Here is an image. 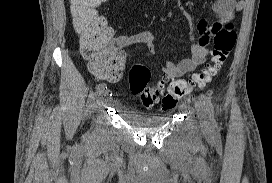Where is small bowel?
<instances>
[{
  "label": "small bowel",
  "instance_id": "small-bowel-1",
  "mask_svg": "<svg viewBox=\"0 0 272 183\" xmlns=\"http://www.w3.org/2000/svg\"><path fill=\"white\" fill-rule=\"evenodd\" d=\"M244 0H217L213 9L217 14V21L215 24L210 25L206 20H201L198 23V30L200 32V38L196 40L193 36L190 37L191 41V54L180 61H167L163 68V73L167 79L179 78L189 72L194 71L206 60L209 49L207 47L208 39H214L216 31L220 30V25L233 19L236 12L240 11L244 7ZM110 34L109 48L118 56L119 62L110 67L105 74H98L94 72L99 78L107 81H116L122 74L125 57L123 50L134 44H145L151 53H156L157 47L155 43V36L152 31L144 30L131 35L114 36L112 28L108 27Z\"/></svg>",
  "mask_w": 272,
  "mask_h": 183
}]
</instances>
